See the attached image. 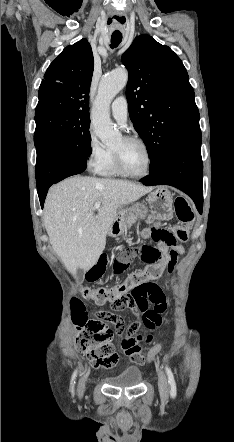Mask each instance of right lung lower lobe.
<instances>
[{
	"instance_id": "obj_1",
	"label": "right lung lower lobe",
	"mask_w": 234,
	"mask_h": 442,
	"mask_svg": "<svg viewBox=\"0 0 234 442\" xmlns=\"http://www.w3.org/2000/svg\"><path fill=\"white\" fill-rule=\"evenodd\" d=\"M36 152L37 192L43 208L49 187L66 177L83 172L87 157L62 144H43L36 147Z\"/></svg>"
}]
</instances>
